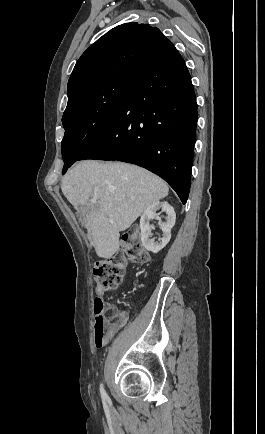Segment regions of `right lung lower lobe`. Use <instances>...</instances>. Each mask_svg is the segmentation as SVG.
Wrapping results in <instances>:
<instances>
[{
	"label": "right lung lower lobe",
	"mask_w": 265,
	"mask_h": 434,
	"mask_svg": "<svg viewBox=\"0 0 265 434\" xmlns=\"http://www.w3.org/2000/svg\"><path fill=\"white\" fill-rule=\"evenodd\" d=\"M197 103L191 76L175 46L135 76L115 118L78 159L117 160L144 167L188 198Z\"/></svg>",
	"instance_id": "98d812e1"
}]
</instances>
